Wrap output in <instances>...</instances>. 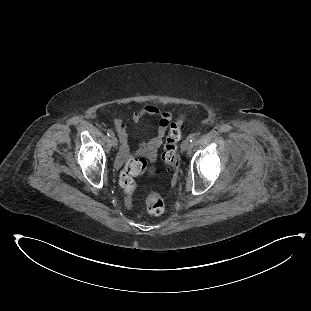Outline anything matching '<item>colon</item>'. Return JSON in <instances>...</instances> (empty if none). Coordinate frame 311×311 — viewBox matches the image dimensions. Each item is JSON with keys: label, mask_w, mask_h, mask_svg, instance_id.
<instances>
[{"label": "colon", "mask_w": 311, "mask_h": 311, "mask_svg": "<svg viewBox=\"0 0 311 311\" xmlns=\"http://www.w3.org/2000/svg\"><path fill=\"white\" fill-rule=\"evenodd\" d=\"M187 115L179 114L176 121L169 126L162 153V161L167 172L173 171L178 162V144L182 136V130ZM146 167V160L143 157H133L126 168L120 175V184L127 196H131L136 188L134 176L137 172H141ZM148 211L152 214L159 215L164 211V201L160 195L151 193L147 197Z\"/></svg>", "instance_id": "5ec220e1"}]
</instances>
